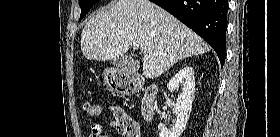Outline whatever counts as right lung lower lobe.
Here are the masks:
<instances>
[{"label": "right lung lower lobe", "mask_w": 280, "mask_h": 137, "mask_svg": "<svg viewBox=\"0 0 280 137\" xmlns=\"http://www.w3.org/2000/svg\"><path fill=\"white\" fill-rule=\"evenodd\" d=\"M200 35L216 51L221 65L226 57L227 0H150Z\"/></svg>", "instance_id": "98d812e1"}]
</instances>
